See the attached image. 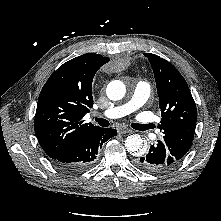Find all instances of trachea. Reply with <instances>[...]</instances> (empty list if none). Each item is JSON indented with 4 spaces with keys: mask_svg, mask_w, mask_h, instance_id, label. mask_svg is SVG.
Masks as SVG:
<instances>
[{
    "mask_svg": "<svg viewBox=\"0 0 221 221\" xmlns=\"http://www.w3.org/2000/svg\"><path fill=\"white\" fill-rule=\"evenodd\" d=\"M96 121L98 122L100 126H103V127H107L110 124L109 121H107L106 119L96 118Z\"/></svg>",
    "mask_w": 221,
    "mask_h": 221,
    "instance_id": "obj_1",
    "label": "trachea"
}]
</instances>
